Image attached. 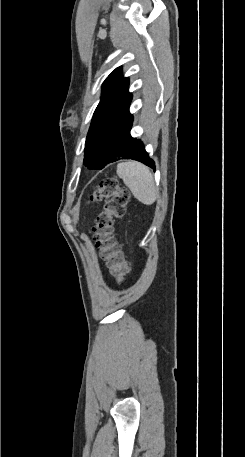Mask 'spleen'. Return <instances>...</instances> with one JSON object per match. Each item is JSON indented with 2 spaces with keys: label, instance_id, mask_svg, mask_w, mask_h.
I'll use <instances>...</instances> for the list:
<instances>
[{
  "label": "spleen",
  "instance_id": "1",
  "mask_svg": "<svg viewBox=\"0 0 245 457\" xmlns=\"http://www.w3.org/2000/svg\"><path fill=\"white\" fill-rule=\"evenodd\" d=\"M116 172L120 178H123L135 198L141 200L143 204L155 202L157 188L149 166H145L137 160H128V162H119Z\"/></svg>",
  "mask_w": 245,
  "mask_h": 457
}]
</instances>
